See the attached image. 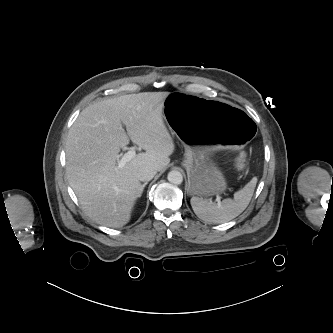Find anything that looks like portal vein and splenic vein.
<instances>
[{
  "instance_id": "1",
  "label": "portal vein and splenic vein",
  "mask_w": 333,
  "mask_h": 333,
  "mask_svg": "<svg viewBox=\"0 0 333 333\" xmlns=\"http://www.w3.org/2000/svg\"><path fill=\"white\" fill-rule=\"evenodd\" d=\"M136 156V152L134 149L129 150L127 153H125L118 162V167H123L127 162L132 160Z\"/></svg>"
}]
</instances>
